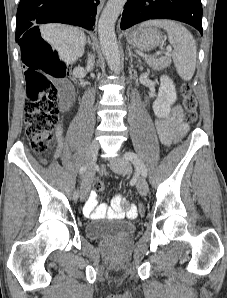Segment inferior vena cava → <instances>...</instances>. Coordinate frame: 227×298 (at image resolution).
<instances>
[{
	"instance_id": "1",
	"label": "inferior vena cava",
	"mask_w": 227,
	"mask_h": 298,
	"mask_svg": "<svg viewBox=\"0 0 227 298\" xmlns=\"http://www.w3.org/2000/svg\"><path fill=\"white\" fill-rule=\"evenodd\" d=\"M94 65V56H90L87 62V69L90 70L93 68Z\"/></svg>"
}]
</instances>
